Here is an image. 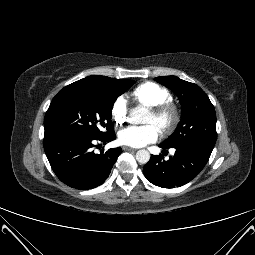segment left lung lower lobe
<instances>
[{"mask_svg": "<svg viewBox=\"0 0 255 255\" xmlns=\"http://www.w3.org/2000/svg\"><path fill=\"white\" fill-rule=\"evenodd\" d=\"M159 147L168 149L162 143ZM174 157L164 160L151 155L143 173L152 184L162 188L180 187L195 178L204 168L212 151L196 147L175 148Z\"/></svg>", "mask_w": 255, "mask_h": 255, "instance_id": "obj_1", "label": "left lung lower lobe"}]
</instances>
